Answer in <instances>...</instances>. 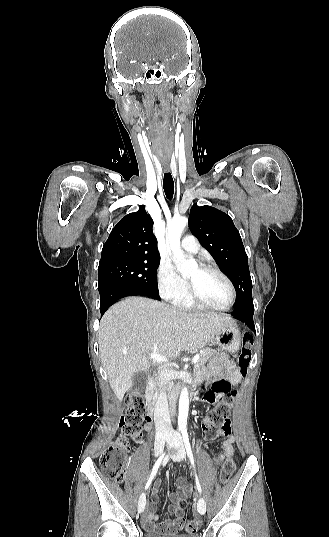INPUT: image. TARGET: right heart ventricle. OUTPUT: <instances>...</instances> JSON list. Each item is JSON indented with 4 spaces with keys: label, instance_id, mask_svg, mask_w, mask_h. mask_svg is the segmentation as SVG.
<instances>
[{
    "label": "right heart ventricle",
    "instance_id": "right-heart-ventricle-1",
    "mask_svg": "<svg viewBox=\"0 0 329 537\" xmlns=\"http://www.w3.org/2000/svg\"><path fill=\"white\" fill-rule=\"evenodd\" d=\"M177 306L184 308V309H193L197 308L198 306L194 304V302L190 299L189 295L186 294L182 299L178 300L177 302H174Z\"/></svg>",
    "mask_w": 329,
    "mask_h": 537
}]
</instances>
